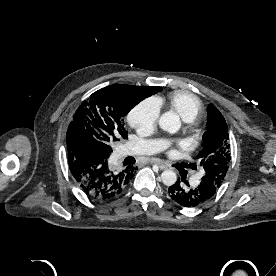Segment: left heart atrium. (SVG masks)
Returning a JSON list of instances; mask_svg holds the SVG:
<instances>
[{
    "label": "left heart atrium",
    "instance_id": "left-heart-atrium-1",
    "mask_svg": "<svg viewBox=\"0 0 276 276\" xmlns=\"http://www.w3.org/2000/svg\"><path fill=\"white\" fill-rule=\"evenodd\" d=\"M179 145L181 146L182 145V143L181 142H179ZM175 153V150L174 149H171L170 151H169V154L170 155H173Z\"/></svg>",
    "mask_w": 276,
    "mask_h": 276
}]
</instances>
